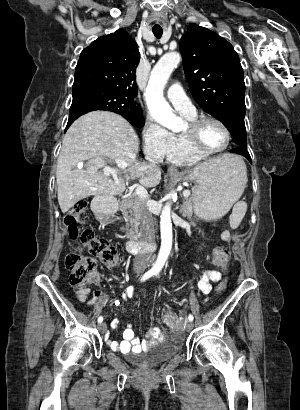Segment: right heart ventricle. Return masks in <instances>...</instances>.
<instances>
[{"label": "right heart ventricle", "mask_w": 300, "mask_h": 410, "mask_svg": "<svg viewBox=\"0 0 300 410\" xmlns=\"http://www.w3.org/2000/svg\"><path fill=\"white\" fill-rule=\"evenodd\" d=\"M188 120L196 117V113H182ZM168 162L178 165H194L206 157L194 152L183 133H170L168 151L164 157Z\"/></svg>", "instance_id": "right-heart-ventricle-1"}]
</instances>
